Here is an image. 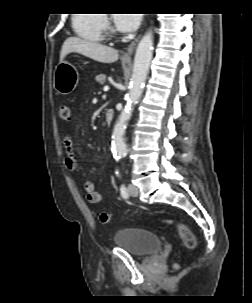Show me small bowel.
<instances>
[{"label":"small bowel","instance_id":"obj_1","mask_svg":"<svg viewBox=\"0 0 252 303\" xmlns=\"http://www.w3.org/2000/svg\"><path fill=\"white\" fill-rule=\"evenodd\" d=\"M63 147L66 151L64 157V164L68 171L76 172L77 171V160L75 153L73 151V142L69 136H66L63 139ZM84 190L87 195V200L91 204H98L102 201V193L95 189L94 183L92 181L86 180L84 182Z\"/></svg>","mask_w":252,"mask_h":303}]
</instances>
